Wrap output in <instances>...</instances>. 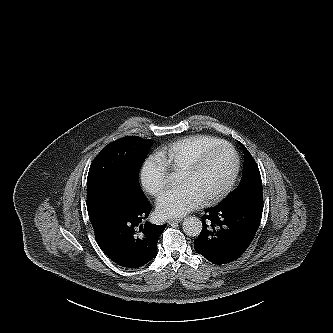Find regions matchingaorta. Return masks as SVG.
Instances as JSON below:
<instances>
[{
    "label": "aorta",
    "mask_w": 333,
    "mask_h": 333,
    "mask_svg": "<svg viewBox=\"0 0 333 333\" xmlns=\"http://www.w3.org/2000/svg\"><path fill=\"white\" fill-rule=\"evenodd\" d=\"M184 233L190 237H197L202 231V222L195 216L186 218L182 224Z\"/></svg>",
    "instance_id": "obj_1"
}]
</instances>
